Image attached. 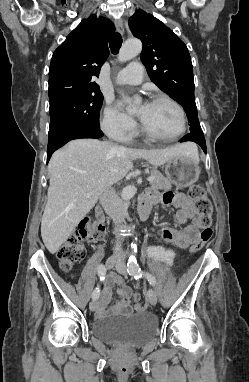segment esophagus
I'll list each match as a JSON object with an SVG mask.
<instances>
[{
	"mask_svg": "<svg viewBox=\"0 0 249 382\" xmlns=\"http://www.w3.org/2000/svg\"><path fill=\"white\" fill-rule=\"evenodd\" d=\"M114 23H115V27H116L117 31L120 34H124L123 21L121 19H116Z\"/></svg>",
	"mask_w": 249,
	"mask_h": 382,
	"instance_id": "34e87169",
	"label": "esophagus"
}]
</instances>
